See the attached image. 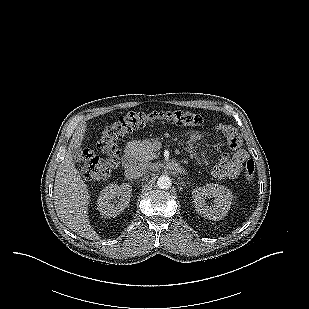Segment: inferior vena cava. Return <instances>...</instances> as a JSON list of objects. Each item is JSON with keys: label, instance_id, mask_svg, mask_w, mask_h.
Segmentation results:
<instances>
[{"label": "inferior vena cava", "instance_id": "inferior-vena-cava-1", "mask_svg": "<svg viewBox=\"0 0 309 309\" xmlns=\"http://www.w3.org/2000/svg\"><path fill=\"white\" fill-rule=\"evenodd\" d=\"M145 171H146L145 165L137 164V165L130 166L125 171V176L129 180L137 179V178L141 177L144 174Z\"/></svg>", "mask_w": 309, "mask_h": 309}]
</instances>
